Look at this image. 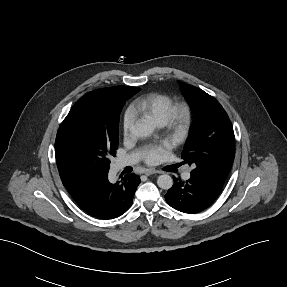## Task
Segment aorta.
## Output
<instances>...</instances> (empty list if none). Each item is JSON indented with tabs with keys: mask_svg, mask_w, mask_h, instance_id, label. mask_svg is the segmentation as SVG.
I'll use <instances>...</instances> for the list:
<instances>
[{
	"mask_svg": "<svg viewBox=\"0 0 287 287\" xmlns=\"http://www.w3.org/2000/svg\"><path fill=\"white\" fill-rule=\"evenodd\" d=\"M153 127L145 122H136L132 128L131 133L135 137L144 138L152 134ZM157 185L164 190H168L173 185V179L168 174L160 175L157 179Z\"/></svg>",
	"mask_w": 287,
	"mask_h": 287,
	"instance_id": "1",
	"label": "aorta"
}]
</instances>
